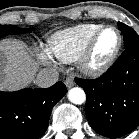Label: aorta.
Masks as SVG:
<instances>
[{
  "label": "aorta",
  "mask_w": 139,
  "mask_h": 139,
  "mask_svg": "<svg viewBox=\"0 0 139 139\" xmlns=\"http://www.w3.org/2000/svg\"><path fill=\"white\" fill-rule=\"evenodd\" d=\"M69 100L74 104H83L86 101V94L80 87H74L68 92Z\"/></svg>",
  "instance_id": "1"
}]
</instances>
